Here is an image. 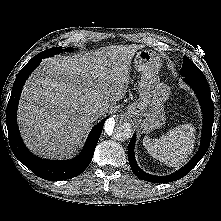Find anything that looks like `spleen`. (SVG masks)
Instances as JSON below:
<instances>
[{
	"label": "spleen",
	"mask_w": 221,
	"mask_h": 221,
	"mask_svg": "<svg viewBox=\"0 0 221 221\" xmlns=\"http://www.w3.org/2000/svg\"><path fill=\"white\" fill-rule=\"evenodd\" d=\"M194 131L191 124H183L171 129L159 139L146 136L143 145L156 160L170 167H179L186 162L194 149Z\"/></svg>",
	"instance_id": "obj_1"
}]
</instances>
